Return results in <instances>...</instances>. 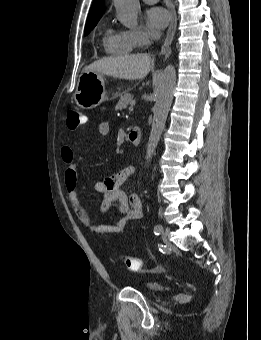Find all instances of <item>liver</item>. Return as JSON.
<instances>
[{
  "label": "liver",
  "instance_id": "obj_1",
  "mask_svg": "<svg viewBox=\"0 0 261 340\" xmlns=\"http://www.w3.org/2000/svg\"><path fill=\"white\" fill-rule=\"evenodd\" d=\"M151 57L147 54L104 57L84 68L119 79H143L150 71Z\"/></svg>",
  "mask_w": 261,
  "mask_h": 340
}]
</instances>
